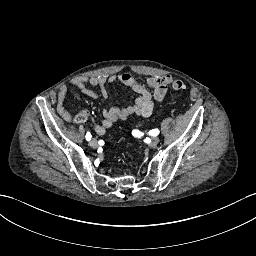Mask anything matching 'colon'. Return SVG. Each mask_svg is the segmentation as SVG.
I'll list each match as a JSON object with an SVG mask.
<instances>
[{"mask_svg": "<svg viewBox=\"0 0 256 256\" xmlns=\"http://www.w3.org/2000/svg\"><path fill=\"white\" fill-rule=\"evenodd\" d=\"M173 89L175 91H184L186 89V85L182 81H174L173 82Z\"/></svg>", "mask_w": 256, "mask_h": 256, "instance_id": "1", "label": "colon"}]
</instances>
